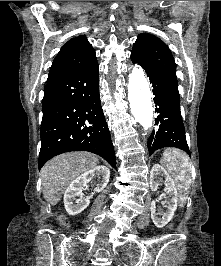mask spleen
<instances>
[{"mask_svg":"<svg viewBox=\"0 0 221 266\" xmlns=\"http://www.w3.org/2000/svg\"><path fill=\"white\" fill-rule=\"evenodd\" d=\"M161 163L174 177L181 194L180 199L185 203L191 186L192 165L189 157L179 149H166L163 153Z\"/></svg>","mask_w":221,"mask_h":266,"instance_id":"obj_1","label":"spleen"}]
</instances>
